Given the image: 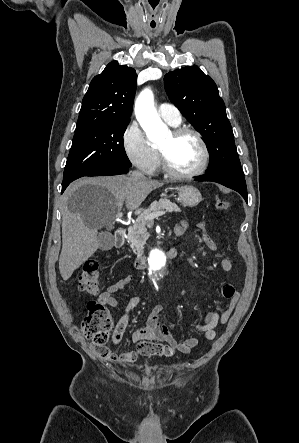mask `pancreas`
<instances>
[{"label": "pancreas", "instance_id": "cf45deb5", "mask_svg": "<svg viewBox=\"0 0 299 443\" xmlns=\"http://www.w3.org/2000/svg\"><path fill=\"white\" fill-rule=\"evenodd\" d=\"M166 210L168 212H180V208L177 204L171 202L168 199H160L159 201H154L149 208L145 209L136 219L133 226L128 229L127 240L130 243L135 254H141L143 252L144 244L147 240V230L146 226L152 221L145 219L148 215L160 211Z\"/></svg>", "mask_w": 299, "mask_h": 443}]
</instances>
